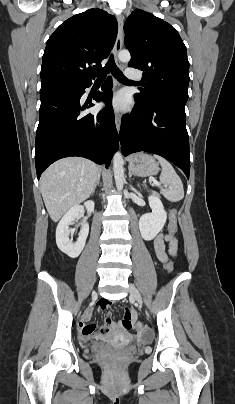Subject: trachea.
<instances>
[{"mask_svg":"<svg viewBox=\"0 0 235 404\" xmlns=\"http://www.w3.org/2000/svg\"><path fill=\"white\" fill-rule=\"evenodd\" d=\"M111 71L112 75L120 82L124 83H134L131 80H128L122 73V71L116 66L114 62V58L111 55L107 64L105 67L102 69L101 72L97 74V81H103L105 79V76L107 73Z\"/></svg>","mask_w":235,"mask_h":404,"instance_id":"obj_1","label":"trachea"}]
</instances>
